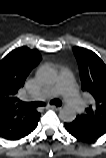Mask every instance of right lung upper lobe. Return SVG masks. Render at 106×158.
Instances as JSON below:
<instances>
[{
	"instance_id": "obj_1",
	"label": "right lung upper lobe",
	"mask_w": 106,
	"mask_h": 158,
	"mask_svg": "<svg viewBox=\"0 0 106 158\" xmlns=\"http://www.w3.org/2000/svg\"><path fill=\"white\" fill-rule=\"evenodd\" d=\"M40 59L37 50L20 47L0 62V135L6 139L20 138L41 116L35 109L24 106L17 97Z\"/></svg>"
}]
</instances>
